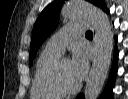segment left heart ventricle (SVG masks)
I'll return each instance as SVG.
<instances>
[{
  "label": "left heart ventricle",
  "mask_w": 128,
  "mask_h": 99,
  "mask_svg": "<svg viewBox=\"0 0 128 99\" xmlns=\"http://www.w3.org/2000/svg\"><path fill=\"white\" fill-rule=\"evenodd\" d=\"M60 77L63 85L67 88H72L79 83L71 71V64L68 59H63L61 62Z\"/></svg>",
  "instance_id": "1"
}]
</instances>
